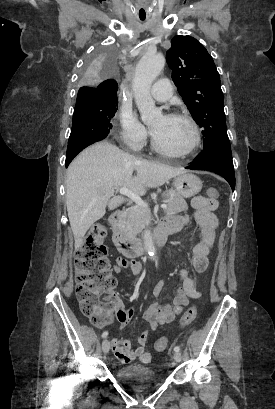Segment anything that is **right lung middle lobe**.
Returning a JSON list of instances; mask_svg holds the SVG:
<instances>
[{
    "label": "right lung middle lobe",
    "instance_id": "dd1d6c3e",
    "mask_svg": "<svg viewBox=\"0 0 275 409\" xmlns=\"http://www.w3.org/2000/svg\"><path fill=\"white\" fill-rule=\"evenodd\" d=\"M89 50L81 72V90H96L101 79H110L111 73H118V64L113 59L120 58L119 50ZM118 101L116 96L98 97L88 93H78L73 114L72 130L68 140L66 167L87 146L107 137Z\"/></svg>",
    "mask_w": 275,
    "mask_h": 409
}]
</instances>
